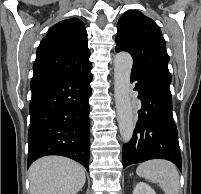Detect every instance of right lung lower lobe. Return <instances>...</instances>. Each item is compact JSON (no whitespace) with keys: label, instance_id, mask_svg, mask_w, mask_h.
Wrapping results in <instances>:
<instances>
[{"label":"right lung lower lobe","instance_id":"98d812e1","mask_svg":"<svg viewBox=\"0 0 201 194\" xmlns=\"http://www.w3.org/2000/svg\"><path fill=\"white\" fill-rule=\"evenodd\" d=\"M91 80V68L74 76L31 80L28 167L42 156L60 155L88 171Z\"/></svg>","mask_w":201,"mask_h":194}]
</instances>
